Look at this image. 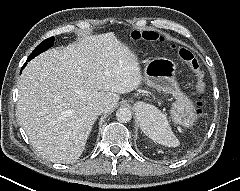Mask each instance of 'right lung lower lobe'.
Returning a JSON list of instances; mask_svg holds the SVG:
<instances>
[{"mask_svg": "<svg viewBox=\"0 0 240 191\" xmlns=\"http://www.w3.org/2000/svg\"><path fill=\"white\" fill-rule=\"evenodd\" d=\"M26 64H24V66L22 67V69L25 67Z\"/></svg>", "mask_w": 240, "mask_h": 191, "instance_id": "obj_1", "label": "right lung lower lobe"}]
</instances>
